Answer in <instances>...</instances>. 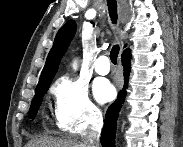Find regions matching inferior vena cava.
<instances>
[{"mask_svg": "<svg viewBox=\"0 0 183 147\" xmlns=\"http://www.w3.org/2000/svg\"><path fill=\"white\" fill-rule=\"evenodd\" d=\"M102 126V114L98 111L93 115L91 125L82 133V141L86 147H98Z\"/></svg>", "mask_w": 183, "mask_h": 147, "instance_id": "602c4592", "label": "inferior vena cava"}]
</instances>
